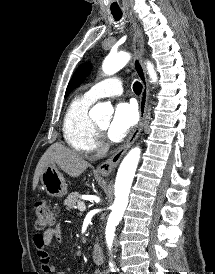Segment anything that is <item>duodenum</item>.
<instances>
[{"instance_id":"obj_1","label":"duodenum","mask_w":215,"mask_h":274,"mask_svg":"<svg viewBox=\"0 0 215 274\" xmlns=\"http://www.w3.org/2000/svg\"><path fill=\"white\" fill-rule=\"evenodd\" d=\"M92 256L95 264L102 265L104 263V253L99 245L93 247Z\"/></svg>"}]
</instances>
